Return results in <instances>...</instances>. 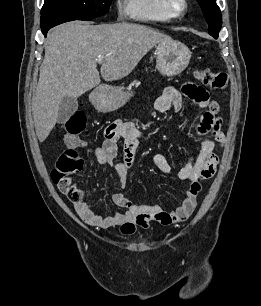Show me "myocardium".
I'll list each match as a JSON object with an SVG mask.
<instances>
[{
  "label": "myocardium",
  "instance_id": "1",
  "mask_svg": "<svg viewBox=\"0 0 261 306\" xmlns=\"http://www.w3.org/2000/svg\"><path fill=\"white\" fill-rule=\"evenodd\" d=\"M163 6L171 17H178L188 9L187 0H163Z\"/></svg>",
  "mask_w": 261,
  "mask_h": 306
}]
</instances>
